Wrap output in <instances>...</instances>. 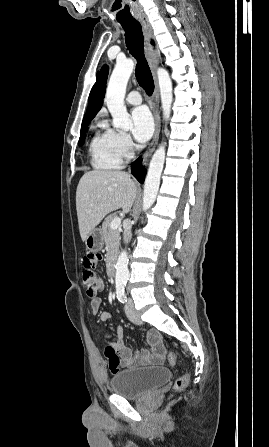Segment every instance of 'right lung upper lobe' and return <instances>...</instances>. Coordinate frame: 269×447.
<instances>
[{"label":"right lung upper lobe","mask_w":269,"mask_h":447,"mask_svg":"<svg viewBox=\"0 0 269 447\" xmlns=\"http://www.w3.org/2000/svg\"><path fill=\"white\" fill-rule=\"evenodd\" d=\"M108 76V66H104L96 85L91 100L89 102L87 112L84 116L82 126L91 122L97 112L101 109L103 104V98L105 95L106 81Z\"/></svg>","instance_id":"1"}]
</instances>
